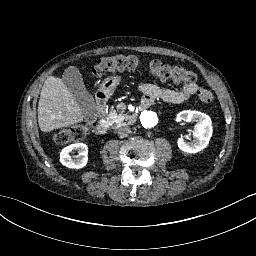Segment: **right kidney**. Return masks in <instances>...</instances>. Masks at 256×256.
I'll use <instances>...</instances> for the list:
<instances>
[{
  "label": "right kidney",
  "instance_id": "1",
  "mask_svg": "<svg viewBox=\"0 0 256 256\" xmlns=\"http://www.w3.org/2000/svg\"><path fill=\"white\" fill-rule=\"evenodd\" d=\"M78 152V155L71 157L70 153ZM88 161V147L84 143L71 144L62 149L60 152V162L68 167L80 169L86 166Z\"/></svg>",
  "mask_w": 256,
  "mask_h": 256
}]
</instances>
